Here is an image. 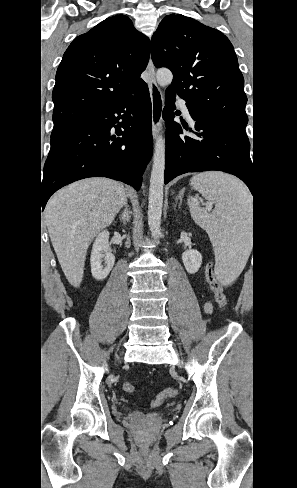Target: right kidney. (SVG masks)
Wrapping results in <instances>:
<instances>
[{"label":"right kidney","mask_w":297,"mask_h":488,"mask_svg":"<svg viewBox=\"0 0 297 488\" xmlns=\"http://www.w3.org/2000/svg\"><path fill=\"white\" fill-rule=\"evenodd\" d=\"M104 259L106 266L101 265ZM115 263V256L109 247V232L104 230L96 238L90 257L92 276L96 280L105 279L112 270Z\"/></svg>","instance_id":"obj_1"}]
</instances>
